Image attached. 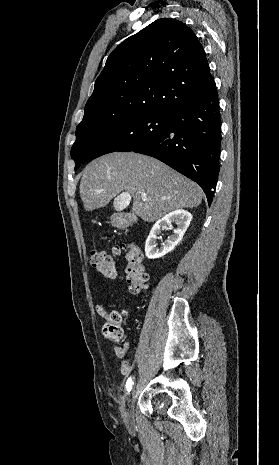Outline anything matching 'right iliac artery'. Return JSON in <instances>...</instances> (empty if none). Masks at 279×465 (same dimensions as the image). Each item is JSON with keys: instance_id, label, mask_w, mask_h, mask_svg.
Segmentation results:
<instances>
[{"instance_id": "82829eb1", "label": "right iliac artery", "mask_w": 279, "mask_h": 465, "mask_svg": "<svg viewBox=\"0 0 279 465\" xmlns=\"http://www.w3.org/2000/svg\"><path fill=\"white\" fill-rule=\"evenodd\" d=\"M133 384H134L133 379L131 377L128 378V380L126 382V390H127V392L131 391Z\"/></svg>"}]
</instances>
